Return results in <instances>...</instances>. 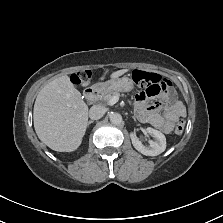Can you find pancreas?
Returning a JSON list of instances; mask_svg holds the SVG:
<instances>
[{
  "label": "pancreas",
  "mask_w": 223,
  "mask_h": 223,
  "mask_svg": "<svg viewBox=\"0 0 223 223\" xmlns=\"http://www.w3.org/2000/svg\"><path fill=\"white\" fill-rule=\"evenodd\" d=\"M117 94H119V93H117ZM114 95H116V94L103 95V96H102V100L105 101V102H107V103H110V99H111V97L114 96Z\"/></svg>",
  "instance_id": "pancreas-1"
}]
</instances>
